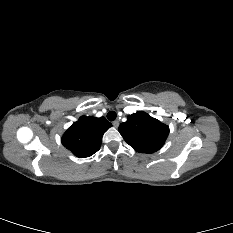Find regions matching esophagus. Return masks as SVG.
Listing matches in <instances>:
<instances>
[{
    "label": "esophagus",
    "mask_w": 233,
    "mask_h": 233,
    "mask_svg": "<svg viewBox=\"0 0 233 233\" xmlns=\"http://www.w3.org/2000/svg\"><path fill=\"white\" fill-rule=\"evenodd\" d=\"M112 124H113V126H114L115 128H117V127L119 126V121H118V120H115V121L112 122Z\"/></svg>",
    "instance_id": "obj_1"
}]
</instances>
